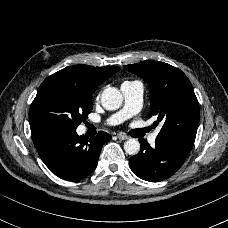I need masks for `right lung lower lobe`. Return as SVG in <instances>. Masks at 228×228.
Wrapping results in <instances>:
<instances>
[{
	"instance_id": "right-lung-lower-lobe-1",
	"label": "right lung lower lobe",
	"mask_w": 228,
	"mask_h": 228,
	"mask_svg": "<svg viewBox=\"0 0 228 228\" xmlns=\"http://www.w3.org/2000/svg\"><path fill=\"white\" fill-rule=\"evenodd\" d=\"M44 164L59 178L77 181L95 169L103 144L111 136L100 131L90 138L76 130L56 129L32 136Z\"/></svg>"
}]
</instances>
